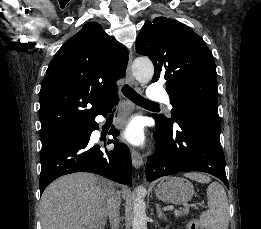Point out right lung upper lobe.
I'll list each match as a JSON object with an SVG mask.
<instances>
[{"label": "right lung upper lobe", "instance_id": "cb5924a9", "mask_svg": "<svg viewBox=\"0 0 261 229\" xmlns=\"http://www.w3.org/2000/svg\"><path fill=\"white\" fill-rule=\"evenodd\" d=\"M128 58L125 46L96 22L67 40L41 84L40 133L55 131L58 141L86 129L116 98Z\"/></svg>", "mask_w": 261, "mask_h": 229}]
</instances>
